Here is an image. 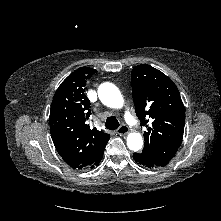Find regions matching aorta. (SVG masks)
<instances>
[{"label":"aorta","instance_id":"1","mask_svg":"<svg viewBox=\"0 0 221 221\" xmlns=\"http://www.w3.org/2000/svg\"><path fill=\"white\" fill-rule=\"evenodd\" d=\"M98 96L101 102L111 108H121L124 104L119 89L112 83H103L98 88ZM127 146L132 151H138L143 146V139L140 133L132 132L127 136Z\"/></svg>","mask_w":221,"mask_h":221}]
</instances>
